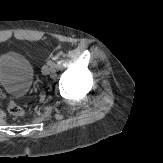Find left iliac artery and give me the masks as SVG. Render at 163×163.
Wrapping results in <instances>:
<instances>
[{"label": "left iliac artery", "instance_id": "1", "mask_svg": "<svg viewBox=\"0 0 163 163\" xmlns=\"http://www.w3.org/2000/svg\"><path fill=\"white\" fill-rule=\"evenodd\" d=\"M48 64L50 65V66H54V62L53 61H48Z\"/></svg>", "mask_w": 163, "mask_h": 163}]
</instances>
